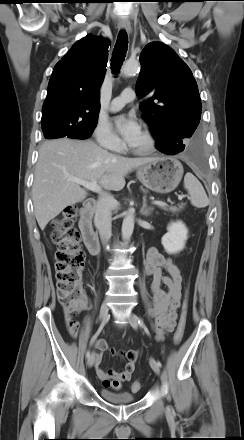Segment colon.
<instances>
[{
	"label": "colon",
	"mask_w": 244,
	"mask_h": 440,
	"mask_svg": "<svg viewBox=\"0 0 244 440\" xmlns=\"http://www.w3.org/2000/svg\"><path fill=\"white\" fill-rule=\"evenodd\" d=\"M77 208L72 205L64 209L60 218L52 224L51 240L56 245L55 267L57 278V297L63 307L65 317L74 321L75 315L86 306V296L83 289V273L85 270V254L79 247V234L73 228V219ZM189 297V284L187 283L180 319L174 333V343L182 341L186 326ZM122 383L116 379H107L103 382L105 388L119 389ZM132 391L140 389V382L134 381Z\"/></svg>",
	"instance_id": "5ec220e1"
}]
</instances>
